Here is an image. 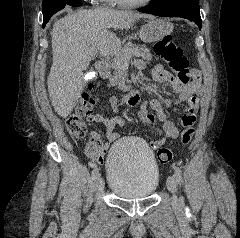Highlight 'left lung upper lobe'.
Returning a JSON list of instances; mask_svg holds the SVG:
<instances>
[{"mask_svg":"<svg viewBox=\"0 0 240 238\" xmlns=\"http://www.w3.org/2000/svg\"><path fill=\"white\" fill-rule=\"evenodd\" d=\"M162 0H151L150 1V5H153V4H156V3H158V2H161Z\"/></svg>","mask_w":240,"mask_h":238,"instance_id":"5c2ea615","label":"left lung upper lobe"}]
</instances>
